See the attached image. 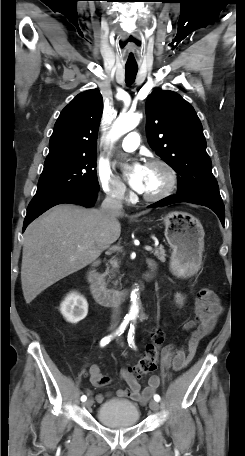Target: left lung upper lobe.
<instances>
[{
	"label": "left lung upper lobe",
	"instance_id": "1",
	"mask_svg": "<svg viewBox=\"0 0 245 456\" xmlns=\"http://www.w3.org/2000/svg\"><path fill=\"white\" fill-rule=\"evenodd\" d=\"M150 147L178 173L177 195L222 202L193 107L173 91L155 90L146 100Z\"/></svg>",
	"mask_w": 245,
	"mask_h": 456
}]
</instances>
